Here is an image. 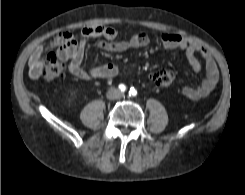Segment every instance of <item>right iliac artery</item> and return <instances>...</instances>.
Masks as SVG:
<instances>
[{"label": "right iliac artery", "instance_id": "right-iliac-artery-1", "mask_svg": "<svg viewBox=\"0 0 245 195\" xmlns=\"http://www.w3.org/2000/svg\"><path fill=\"white\" fill-rule=\"evenodd\" d=\"M119 90H120L121 92H125V91H126V86H125L124 84H120V85H119Z\"/></svg>", "mask_w": 245, "mask_h": 195}]
</instances>
